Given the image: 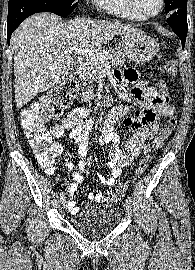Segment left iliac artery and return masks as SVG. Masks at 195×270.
Returning a JSON list of instances; mask_svg holds the SVG:
<instances>
[{
    "label": "left iliac artery",
    "mask_w": 195,
    "mask_h": 270,
    "mask_svg": "<svg viewBox=\"0 0 195 270\" xmlns=\"http://www.w3.org/2000/svg\"><path fill=\"white\" fill-rule=\"evenodd\" d=\"M127 201L131 204L132 203V199H131V197H127Z\"/></svg>",
    "instance_id": "left-iliac-artery-1"
}]
</instances>
